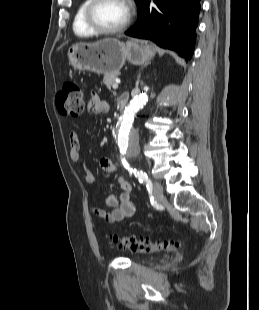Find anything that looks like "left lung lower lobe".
Masks as SVG:
<instances>
[{"label": "left lung lower lobe", "mask_w": 259, "mask_h": 310, "mask_svg": "<svg viewBox=\"0 0 259 310\" xmlns=\"http://www.w3.org/2000/svg\"><path fill=\"white\" fill-rule=\"evenodd\" d=\"M201 0H142L137 22L126 35L149 39L157 45L176 51L188 61L193 52Z\"/></svg>", "instance_id": "1"}]
</instances>
